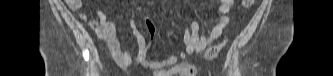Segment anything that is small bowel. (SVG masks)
<instances>
[{"mask_svg": "<svg viewBox=\"0 0 333 76\" xmlns=\"http://www.w3.org/2000/svg\"><path fill=\"white\" fill-rule=\"evenodd\" d=\"M65 3L71 12L79 11L82 7L81 0H66ZM234 5V0L221 1L216 23L208 33H200L198 22L193 20L189 26L183 29V50L159 60L147 59L149 45L135 20L129 22L133 41L127 49H123L121 46L115 23L109 20L101 9L97 10V18L90 21V26L98 37L105 41L114 62L122 69L129 67L135 62L143 68L153 70L155 76H195V68L181 61L187 55L203 51L223 34L230 22V15ZM79 18L82 21H86L87 14L80 12ZM145 24L149 35L153 37L158 30L157 24L150 19H146ZM133 48H137V56L134 60L131 56Z\"/></svg>", "mask_w": 333, "mask_h": 76, "instance_id": "1", "label": "small bowel"}]
</instances>
